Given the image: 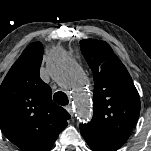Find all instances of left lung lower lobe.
<instances>
[{
	"instance_id": "left-lung-lower-lobe-1",
	"label": "left lung lower lobe",
	"mask_w": 151,
	"mask_h": 151,
	"mask_svg": "<svg viewBox=\"0 0 151 151\" xmlns=\"http://www.w3.org/2000/svg\"><path fill=\"white\" fill-rule=\"evenodd\" d=\"M82 136L94 151H116L127 141L125 138L118 137L91 134H82Z\"/></svg>"
}]
</instances>
